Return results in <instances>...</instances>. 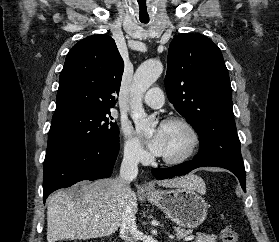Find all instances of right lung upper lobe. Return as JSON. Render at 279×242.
<instances>
[{
	"label": "right lung upper lobe",
	"instance_id": "1",
	"mask_svg": "<svg viewBox=\"0 0 279 242\" xmlns=\"http://www.w3.org/2000/svg\"><path fill=\"white\" fill-rule=\"evenodd\" d=\"M123 69V59L110 36L97 34L82 39L66 56L59 78L55 114L113 108Z\"/></svg>",
	"mask_w": 279,
	"mask_h": 242
}]
</instances>
